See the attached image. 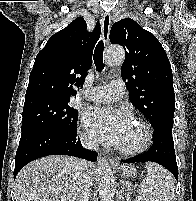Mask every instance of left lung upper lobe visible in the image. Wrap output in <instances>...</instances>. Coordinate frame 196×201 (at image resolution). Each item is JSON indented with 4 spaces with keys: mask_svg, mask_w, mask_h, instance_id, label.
I'll return each instance as SVG.
<instances>
[{
    "mask_svg": "<svg viewBox=\"0 0 196 201\" xmlns=\"http://www.w3.org/2000/svg\"><path fill=\"white\" fill-rule=\"evenodd\" d=\"M110 42L125 49L121 77L127 81L132 104L151 122L154 131L173 128V75L160 42L129 18L113 24Z\"/></svg>",
    "mask_w": 196,
    "mask_h": 201,
    "instance_id": "obj_1",
    "label": "left lung upper lobe"
}]
</instances>
